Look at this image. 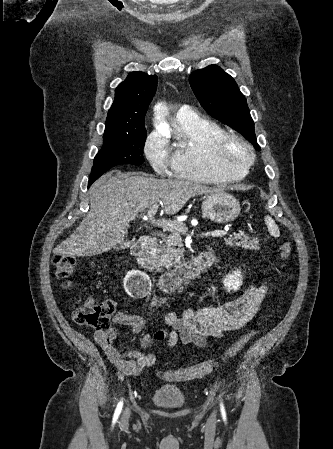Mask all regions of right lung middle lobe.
I'll list each match as a JSON object with an SVG mask.
<instances>
[{
	"instance_id": "right-lung-middle-lobe-1",
	"label": "right lung middle lobe",
	"mask_w": 333,
	"mask_h": 449,
	"mask_svg": "<svg viewBox=\"0 0 333 449\" xmlns=\"http://www.w3.org/2000/svg\"><path fill=\"white\" fill-rule=\"evenodd\" d=\"M146 137L145 128L136 135L104 134L103 147L95 156L90 178L98 179L107 170L119 164H142Z\"/></svg>"
}]
</instances>
